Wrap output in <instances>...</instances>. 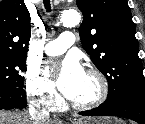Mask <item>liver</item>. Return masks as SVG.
Masks as SVG:
<instances>
[{"instance_id":"6515ba94","label":"liver","mask_w":145,"mask_h":124,"mask_svg":"<svg viewBox=\"0 0 145 124\" xmlns=\"http://www.w3.org/2000/svg\"><path fill=\"white\" fill-rule=\"evenodd\" d=\"M0 124H34L31 118L23 113L13 111H0ZM39 124H52L49 120Z\"/></svg>"}]
</instances>
